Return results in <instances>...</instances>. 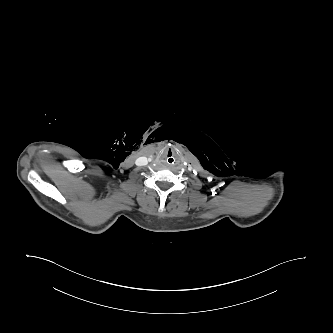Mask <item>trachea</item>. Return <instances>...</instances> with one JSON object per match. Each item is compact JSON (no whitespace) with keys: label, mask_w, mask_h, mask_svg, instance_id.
Listing matches in <instances>:
<instances>
[{"label":"trachea","mask_w":333,"mask_h":333,"mask_svg":"<svg viewBox=\"0 0 333 333\" xmlns=\"http://www.w3.org/2000/svg\"><path fill=\"white\" fill-rule=\"evenodd\" d=\"M164 161L168 165H174L178 161V156L174 152L169 151L165 154Z\"/></svg>","instance_id":"obj_1"}]
</instances>
